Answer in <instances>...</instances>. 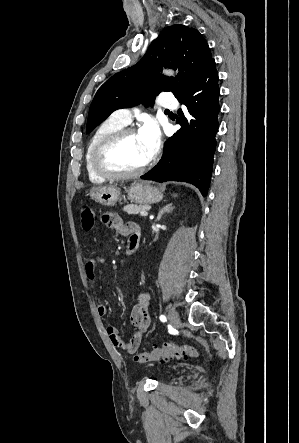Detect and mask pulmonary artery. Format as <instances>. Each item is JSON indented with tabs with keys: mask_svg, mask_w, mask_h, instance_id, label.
<instances>
[{
	"mask_svg": "<svg viewBox=\"0 0 299 443\" xmlns=\"http://www.w3.org/2000/svg\"><path fill=\"white\" fill-rule=\"evenodd\" d=\"M157 103L159 106L166 109H173L176 106V98L172 93H163L158 97ZM112 118L123 125L131 122L132 112L130 109H119L112 114Z\"/></svg>",
	"mask_w": 299,
	"mask_h": 443,
	"instance_id": "pulmonary-artery-1",
	"label": "pulmonary artery"
}]
</instances>
